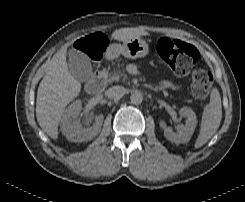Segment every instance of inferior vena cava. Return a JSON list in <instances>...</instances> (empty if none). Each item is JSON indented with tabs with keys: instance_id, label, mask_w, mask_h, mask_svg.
Listing matches in <instances>:
<instances>
[{
	"instance_id": "602c4592",
	"label": "inferior vena cava",
	"mask_w": 245,
	"mask_h": 202,
	"mask_svg": "<svg viewBox=\"0 0 245 202\" xmlns=\"http://www.w3.org/2000/svg\"><path fill=\"white\" fill-rule=\"evenodd\" d=\"M125 88L121 86H113L106 90L105 94L108 98L114 99V100H119L120 98L123 97L125 94Z\"/></svg>"
}]
</instances>
